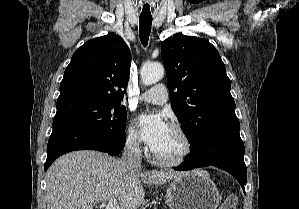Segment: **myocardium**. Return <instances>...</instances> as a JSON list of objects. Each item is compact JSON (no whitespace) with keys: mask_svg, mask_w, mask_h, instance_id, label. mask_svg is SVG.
Masks as SVG:
<instances>
[{"mask_svg":"<svg viewBox=\"0 0 299 209\" xmlns=\"http://www.w3.org/2000/svg\"><path fill=\"white\" fill-rule=\"evenodd\" d=\"M170 128L180 136L183 142V149L181 152L178 155L170 158H163L155 154L153 150L150 152V156L155 163L166 167L176 166L184 163L193 151V141L188 132L179 124H172Z\"/></svg>","mask_w":299,"mask_h":209,"instance_id":"f54148a6","label":"myocardium"}]
</instances>
